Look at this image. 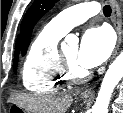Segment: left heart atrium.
Returning <instances> with one entry per match:
<instances>
[{
	"label": "left heart atrium",
	"mask_w": 123,
	"mask_h": 113,
	"mask_svg": "<svg viewBox=\"0 0 123 113\" xmlns=\"http://www.w3.org/2000/svg\"><path fill=\"white\" fill-rule=\"evenodd\" d=\"M112 49L113 38L108 29L89 28L82 36L77 53V63L82 68H94L108 59Z\"/></svg>",
	"instance_id": "1"
}]
</instances>
